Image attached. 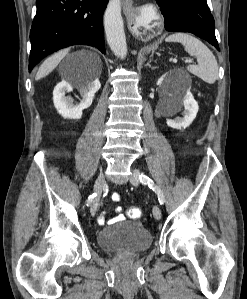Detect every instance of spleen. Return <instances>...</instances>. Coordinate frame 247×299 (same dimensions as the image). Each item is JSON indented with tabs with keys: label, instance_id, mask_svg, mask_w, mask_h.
<instances>
[{
	"label": "spleen",
	"instance_id": "spleen-1",
	"mask_svg": "<svg viewBox=\"0 0 247 299\" xmlns=\"http://www.w3.org/2000/svg\"><path fill=\"white\" fill-rule=\"evenodd\" d=\"M167 42H179L185 51L197 58V65H189L187 70L209 84L218 79V64L212 51L199 39L187 33H175L166 38Z\"/></svg>",
	"mask_w": 247,
	"mask_h": 299
}]
</instances>
